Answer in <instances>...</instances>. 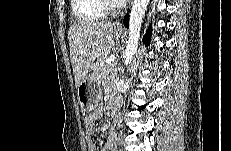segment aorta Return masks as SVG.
Here are the masks:
<instances>
[{
  "label": "aorta",
  "mask_w": 231,
  "mask_h": 151,
  "mask_svg": "<svg viewBox=\"0 0 231 151\" xmlns=\"http://www.w3.org/2000/svg\"><path fill=\"white\" fill-rule=\"evenodd\" d=\"M149 0H134L129 19V39L124 52V64L128 66L138 48L140 30Z\"/></svg>",
  "instance_id": "762f6f07"
}]
</instances>
